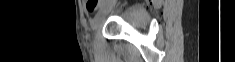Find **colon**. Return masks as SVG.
<instances>
[{
  "mask_svg": "<svg viewBox=\"0 0 235 62\" xmlns=\"http://www.w3.org/2000/svg\"><path fill=\"white\" fill-rule=\"evenodd\" d=\"M95 3H96V1H95V0H91V1H89V6H90V8H91Z\"/></svg>",
  "mask_w": 235,
  "mask_h": 62,
  "instance_id": "5ec220e1",
  "label": "colon"
}]
</instances>
